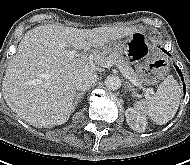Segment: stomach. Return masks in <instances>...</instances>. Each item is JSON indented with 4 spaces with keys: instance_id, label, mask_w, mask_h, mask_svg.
Here are the masks:
<instances>
[{
    "instance_id": "stomach-1",
    "label": "stomach",
    "mask_w": 190,
    "mask_h": 165,
    "mask_svg": "<svg viewBox=\"0 0 190 165\" xmlns=\"http://www.w3.org/2000/svg\"><path fill=\"white\" fill-rule=\"evenodd\" d=\"M112 52L120 53L146 85L157 84L168 68L167 61L152 49L151 42L145 35H125L121 40L106 43L100 49L101 55Z\"/></svg>"
}]
</instances>
